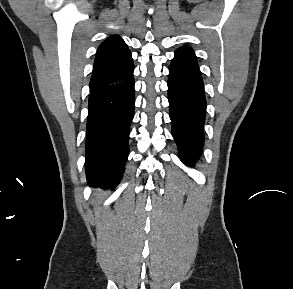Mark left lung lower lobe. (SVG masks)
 <instances>
[{
  "mask_svg": "<svg viewBox=\"0 0 293 289\" xmlns=\"http://www.w3.org/2000/svg\"><path fill=\"white\" fill-rule=\"evenodd\" d=\"M168 100L180 159L192 166L202 152L206 116L204 84L194 53L175 52L169 67Z\"/></svg>",
  "mask_w": 293,
  "mask_h": 289,
  "instance_id": "0a47b994",
  "label": "left lung lower lobe"
}]
</instances>
